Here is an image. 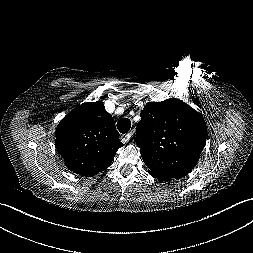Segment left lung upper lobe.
<instances>
[{"instance_id":"1","label":"left lung upper lobe","mask_w":253,"mask_h":253,"mask_svg":"<svg viewBox=\"0 0 253 253\" xmlns=\"http://www.w3.org/2000/svg\"><path fill=\"white\" fill-rule=\"evenodd\" d=\"M134 141L149 173L178 179L197 164L206 144L202 116L179 99L147 103Z\"/></svg>"}]
</instances>
